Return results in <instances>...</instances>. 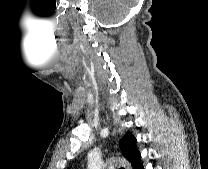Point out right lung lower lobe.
<instances>
[{
    "mask_svg": "<svg viewBox=\"0 0 208 169\" xmlns=\"http://www.w3.org/2000/svg\"><path fill=\"white\" fill-rule=\"evenodd\" d=\"M133 169H144V167L141 163V160L139 161V163Z\"/></svg>",
    "mask_w": 208,
    "mask_h": 169,
    "instance_id": "right-lung-lower-lobe-1",
    "label": "right lung lower lobe"
}]
</instances>
